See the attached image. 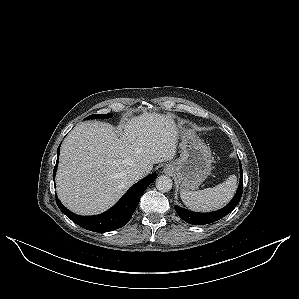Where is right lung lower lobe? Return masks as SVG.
<instances>
[{
	"label": "right lung lower lobe",
	"mask_w": 299,
	"mask_h": 299,
	"mask_svg": "<svg viewBox=\"0 0 299 299\" xmlns=\"http://www.w3.org/2000/svg\"><path fill=\"white\" fill-rule=\"evenodd\" d=\"M60 145L57 149V161L53 171V179L55 182V173L59 160ZM157 174H150L138 183L133 185L126 194L108 211L95 216H80L74 214L65 208L60 200L56 197V203L59 209L74 223L82 228L93 232H108L123 227L131 219L141 195L146 188L156 179Z\"/></svg>",
	"instance_id": "right-lung-lower-lobe-1"
}]
</instances>
